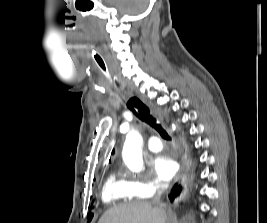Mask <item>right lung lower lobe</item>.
Here are the masks:
<instances>
[{
  "label": "right lung lower lobe",
  "instance_id": "right-lung-lower-lobe-1",
  "mask_svg": "<svg viewBox=\"0 0 267 223\" xmlns=\"http://www.w3.org/2000/svg\"><path fill=\"white\" fill-rule=\"evenodd\" d=\"M182 190V186L178 185L177 183L174 185V188L171 191V194L169 195L170 201L173 202V200L180 195V192Z\"/></svg>",
  "mask_w": 267,
  "mask_h": 223
}]
</instances>
